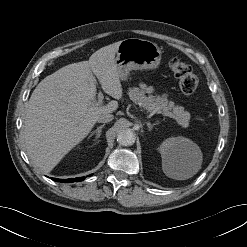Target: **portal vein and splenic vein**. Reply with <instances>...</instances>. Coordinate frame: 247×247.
<instances>
[{"instance_id": "portal-vein-and-splenic-vein-1", "label": "portal vein and splenic vein", "mask_w": 247, "mask_h": 247, "mask_svg": "<svg viewBox=\"0 0 247 247\" xmlns=\"http://www.w3.org/2000/svg\"><path fill=\"white\" fill-rule=\"evenodd\" d=\"M103 102V94L101 92H99L98 94V101H97V105H101ZM159 114H162L163 116H168V117H172V113L171 112H158Z\"/></svg>"}]
</instances>
